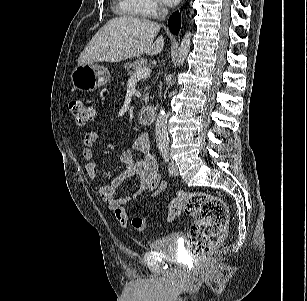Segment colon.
<instances>
[{
	"mask_svg": "<svg viewBox=\"0 0 307 301\" xmlns=\"http://www.w3.org/2000/svg\"><path fill=\"white\" fill-rule=\"evenodd\" d=\"M69 110L78 126L95 120L96 107L84 100L74 99ZM185 213L194 218L187 237V250L194 256H202L222 240L228 220V210L223 199L204 191L178 192L168 204V220ZM132 226L143 231L147 227L145 218L135 217Z\"/></svg>",
	"mask_w": 307,
	"mask_h": 301,
	"instance_id": "1",
	"label": "colon"
}]
</instances>
